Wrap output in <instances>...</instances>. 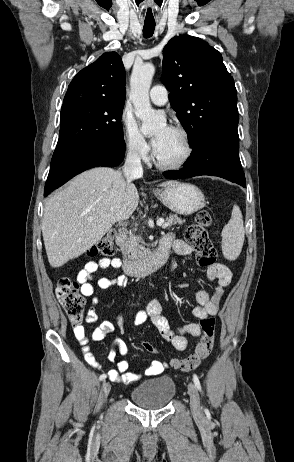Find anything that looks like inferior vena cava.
Instances as JSON below:
<instances>
[{"label": "inferior vena cava", "mask_w": 294, "mask_h": 462, "mask_svg": "<svg viewBox=\"0 0 294 462\" xmlns=\"http://www.w3.org/2000/svg\"><path fill=\"white\" fill-rule=\"evenodd\" d=\"M123 173L126 178L127 185H129L134 179L140 178L143 175L141 158L134 147H130L128 150L126 161L123 166Z\"/></svg>", "instance_id": "1"}]
</instances>
